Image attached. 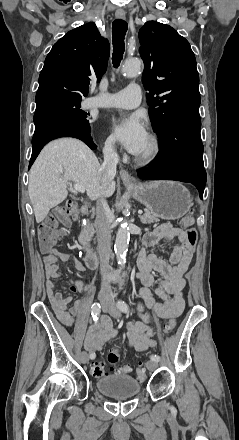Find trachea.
I'll return each mask as SVG.
<instances>
[{
  "label": "trachea",
  "mask_w": 239,
  "mask_h": 440,
  "mask_svg": "<svg viewBox=\"0 0 239 440\" xmlns=\"http://www.w3.org/2000/svg\"><path fill=\"white\" fill-rule=\"evenodd\" d=\"M128 29V24L122 20H114L112 24V38H113V55L112 63L115 68L120 65L125 50L124 38Z\"/></svg>",
  "instance_id": "trachea-1"
}]
</instances>
